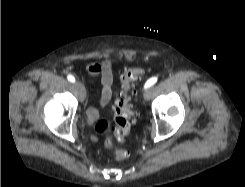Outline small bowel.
<instances>
[{
    "mask_svg": "<svg viewBox=\"0 0 245 187\" xmlns=\"http://www.w3.org/2000/svg\"><path fill=\"white\" fill-rule=\"evenodd\" d=\"M113 67L114 64L111 60H105L101 63L92 62L86 67L87 74L91 80L97 77L100 79L98 86L99 96L97 100L100 107L106 106L112 97ZM87 114L89 119L93 121L98 116V110L94 107H90Z\"/></svg>",
    "mask_w": 245,
    "mask_h": 187,
    "instance_id": "1",
    "label": "small bowel"
}]
</instances>
